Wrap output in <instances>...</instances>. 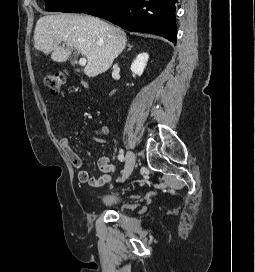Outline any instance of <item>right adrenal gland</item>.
Wrapping results in <instances>:
<instances>
[{
  "instance_id": "1",
  "label": "right adrenal gland",
  "mask_w": 255,
  "mask_h": 272,
  "mask_svg": "<svg viewBox=\"0 0 255 272\" xmlns=\"http://www.w3.org/2000/svg\"><path fill=\"white\" fill-rule=\"evenodd\" d=\"M129 50L132 48V45L128 44Z\"/></svg>"
}]
</instances>
